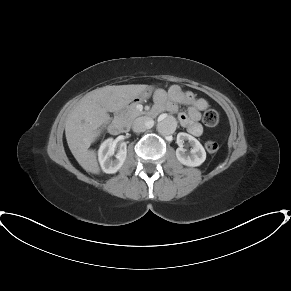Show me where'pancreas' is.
<instances>
[{"label": "pancreas", "mask_w": 291, "mask_h": 291, "mask_svg": "<svg viewBox=\"0 0 291 291\" xmlns=\"http://www.w3.org/2000/svg\"><path fill=\"white\" fill-rule=\"evenodd\" d=\"M143 114H145V112L140 111L137 108L136 103H132L120 111V118L122 119L124 123L130 124L135 120V118Z\"/></svg>", "instance_id": "1"}]
</instances>
